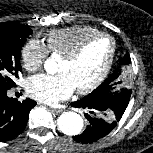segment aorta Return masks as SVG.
Listing matches in <instances>:
<instances>
[{"mask_svg":"<svg viewBox=\"0 0 153 153\" xmlns=\"http://www.w3.org/2000/svg\"><path fill=\"white\" fill-rule=\"evenodd\" d=\"M47 73L54 74L57 71V63L49 58L44 63ZM58 126L61 132L66 135H78L84 126L83 118L75 112H65L58 118Z\"/></svg>","mask_w":153,"mask_h":153,"instance_id":"762f6f07","label":"aorta"}]
</instances>
